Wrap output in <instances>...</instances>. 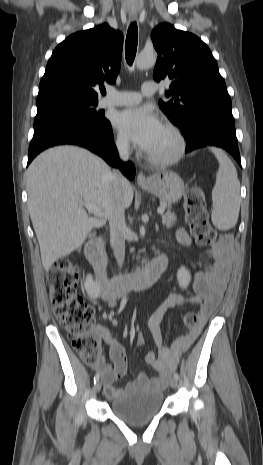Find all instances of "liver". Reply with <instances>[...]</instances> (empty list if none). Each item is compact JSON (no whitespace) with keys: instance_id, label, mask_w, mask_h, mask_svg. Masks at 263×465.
I'll return each mask as SVG.
<instances>
[{"instance_id":"liver-1","label":"liver","mask_w":263,"mask_h":465,"mask_svg":"<svg viewBox=\"0 0 263 465\" xmlns=\"http://www.w3.org/2000/svg\"><path fill=\"white\" fill-rule=\"evenodd\" d=\"M26 185L45 270L80 248L110 218L115 197L111 169L86 149L65 145L44 151L29 165ZM122 201L125 208L133 201L130 184L122 189ZM81 203L98 206L102 216H88Z\"/></svg>"}]
</instances>
